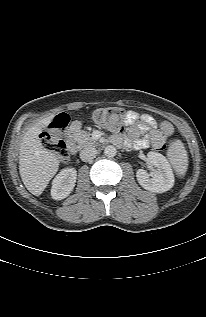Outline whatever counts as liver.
<instances>
[{
	"mask_svg": "<svg viewBox=\"0 0 206 317\" xmlns=\"http://www.w3.org/2000/svg\"><path fill=\"white\" fill-rule=\"evenodd\" d=\"M50 115L35 123L24 135L19 152V172L27 190L39 196L59 168L58 157L45 149L39 134L54 119Z\"/></svg>",
	"mask_w": 206,
	"mask_h": 317,
	"instance_id": "liver-1",
	"label": "liver"
}]
</instances>
